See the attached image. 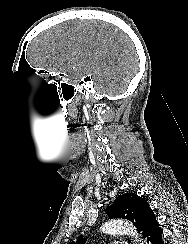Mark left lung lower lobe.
I'll use <instances>...</instances> for the list:
<instances>
[{
    "label": "left lung lower lobe",
    "mask_w": 188,
    "mask_h": 244,
    "mask_svg": "<svg viewBox=\"0 0 188 244\" xmlns=\"http://www.w3.org/2000/svg\"><path fill=\"white\" fill-rule=\"evenodd\" d=\"M143 237L148 244H164L162 239L161 228L153 212H150L146 218Z\"/></svg>",
    "instance_id": "0a47b994"
}]
</instances>
